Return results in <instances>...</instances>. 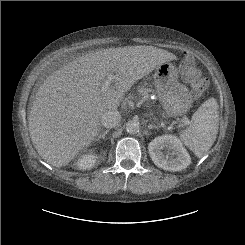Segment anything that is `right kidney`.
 Instances as JSON below:
<instances>
[{
    "instance_id": "1",
    "label": "right kidney",
    "mask_w": 245,
    "mask_h": 245,
    "mask_svg": "<svg viewBox=\"0 0 245 245\" xmlns=\"http://www.w3.org/2000/svg\"><path fill=\"white\" fill-rule=\"evenodd\" d=\"M96 159L97 156L95 154L83 155L78 159L76 166L81 170L90 169L94 166Z\"/></svg>"
}]
</instances>
